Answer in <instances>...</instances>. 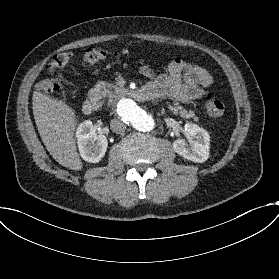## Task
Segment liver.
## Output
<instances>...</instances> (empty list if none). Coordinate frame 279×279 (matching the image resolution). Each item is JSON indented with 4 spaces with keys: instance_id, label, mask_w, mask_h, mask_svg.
I'll list each match as a JSON object with an SVG mask.
<instances>
[{
    "instance_id": "6515ba94",
    "label": "liver",
    "mask_w": 279,
    "mask_h": 279,
    "mask_svg": "<svg viewBox=\"0 0 279 279\" xmlns=\"http://www.w3.org/2000/svg\"><path fill=\"white\" fill-rule=\"evenodd\" d=\"M33 113L42 142L55 161L74 171H81L83 162L76 146L75 129L78 115L64 101L35 91Z\"/></svg>"
}]
</instances>
